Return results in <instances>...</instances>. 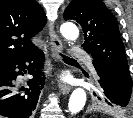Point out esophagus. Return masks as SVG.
<instances>
[{"label": "esophagus", "mask_w": 133, "mask_h": 118, "mask_svg": "<svg viewBox=\"0 0 133 118\" xmlns=\"http://www.w3.org/2000/svg\"><path fill=\"white\" fill-rule=\"evenodd\" d=\"M51 26L52 25L49 24V36H50V40H51V45L53 47L52 55H53L56 62H60L61 57H60L59 53L62 52L63 46H62L61 40L57 36L56 32L51 28ZM59 89H60L62 94H68L71 91V86H69L68 84H65L63 82H60L59 83Z\"/></svg>", "instance_id": "34e87169"}]
</instances>
